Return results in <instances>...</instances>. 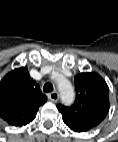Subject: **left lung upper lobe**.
<instances>
[{
	"mask_svg": "<svg viewBox=\"0 0 118 142\" xmlns=\"http://www.w3.org/2000/svg\"><path fill=\"white\" fill-rule=\"evenodd\" d=\"M76 100L70 106L57 105L64 123L75 132H86L99 125L109 111V88L97 73L75 77Z\"/></svg>",
	"mask_w": 118,
	"mask_h": 142,
	"instance_id": "left-lung-upper-lobe-1",
	"label": "left lung upper lobe"
}]
</instances>
